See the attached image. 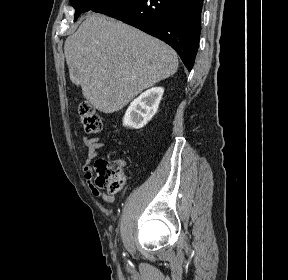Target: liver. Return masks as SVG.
Returning a JSON list of instances; mask_svg holds the SVG:
<instances>
[{"label":"liver","instance_id":"1","mask_svg":"<svg viewBox=\"0 0 288 280\" xmlns=\"http://www.w3.org/2000/svg\"><path fill=\"white\" fill-rule=\"evenodd\" d=\"M64 53L71 81L81 86L86 100L104 113L119 111L178 69L177 54L171 47L97 13H89L66 39Z\"/></svg>","mask_w":288,"mask_h":280}]
</instances>
